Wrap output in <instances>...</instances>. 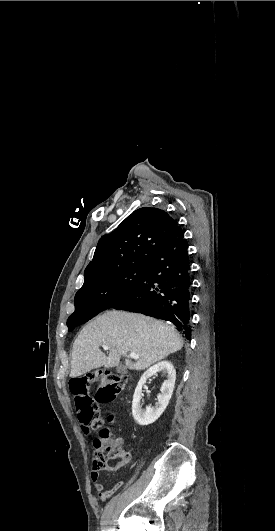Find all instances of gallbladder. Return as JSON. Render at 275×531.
<instances>
[{"label":"gallbladder","instance_id":"bac80fb5","mask_svg":"<svg viewBox=\"0 0 275 531\" xmlns=\"http://www.w3.org/2000/svg\"><path fill=\"white\" fill-rule=\"evenodd\" d=\"M117 373H121V375H127V367L124 365V363H119L118 367H116Z\"/></svg>","mask_w":275,"mask_h":531}]
</instances>
